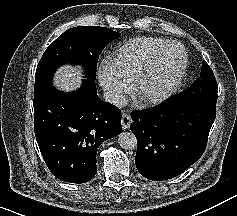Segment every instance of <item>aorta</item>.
Instances as JSON below:
<instances>
[{"mask_svg":"<svg viewBox=\"0 0 237 216\" xmlns=\"http://www.w3.org/2000/svg\"><path fill=\"white\" fill-rule=\"evenodd\" d=\"M118 141L124 150H135L138 147V140L133 132H122L118 136Z\"/></svg>","mask_w":237,"mask_h":216,"instance_id":"obj_1","label":"aorta"}]
</instances>
